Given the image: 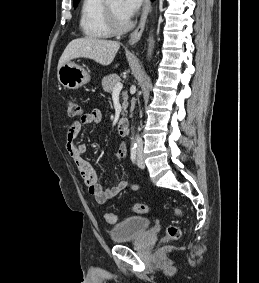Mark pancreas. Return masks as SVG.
Segmentation results:
<instances>
[{
	"mask_svg": "<svg viewBox=\"0 0 259 283\" xmlns=\"http://www.w3.org/2000/svg\"><path fill=\"white\" fill-rule=\"evenodd\" d=\"M121 81L120 77L116 74H110L106 77H104L102 79V86H103V89L105 92L107 93H111L113 92V89H114V86L119 83ZM122 100H123V103H122V109H123V112L126 111L127 107H128V95H127V92H124L122 94ZM122 112V114H123Z\"/></svg>",
	"mask_w": 259,
	"mask_h": 283,
	"instance_id": "cf45deb5",
	"label": "pancreas"
}]
</instances>
